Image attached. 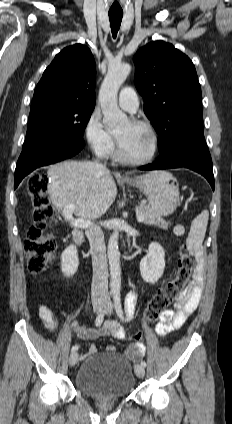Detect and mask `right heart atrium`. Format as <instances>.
<instances>
[{"label": "right heart atrium", "mask_w": 232, "mask_h": 424, "mask_svg": "<svg viewBox=\"0 0 232 424\" xmlns=\"http://www.w3.org/2000/svg\"><path fill=\"white\" fill-rule=\"evenodd\" d=\"M84 137L88 147L98 157L110 156L115 147L113 135L104 127L101 118L92 113L84 126Z\"/></svg>", "instance_id": "d8ad5b80"}]
</instances>
